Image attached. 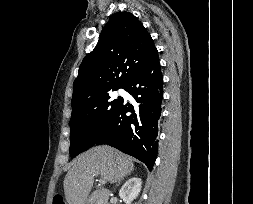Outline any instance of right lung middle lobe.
I'll return each instance as SVG.
<instances>
[{
    "mask_svg": "<svg viewBox=\"0 0 253 204\" xmlns=\"http://www.w3.org/2000/svg\"><path fill=\"white\" fill-rule=\"evenodd\" d=\"M122 100L121 98L111 100L107 93L72 109L70 119V155L72 158L97 142L115 116Z\"/></svg>",
    "mask_w": 253,
    "mask_h": 204,
    "instance_id": "1",
    "label": "right lung middle lobe"
}]
</instances>
